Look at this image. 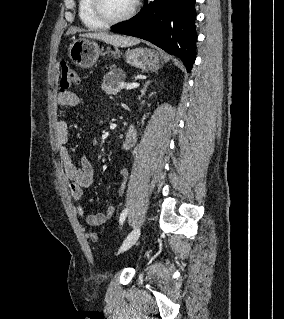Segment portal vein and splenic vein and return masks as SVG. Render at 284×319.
I'll use <instances>...</instances> for the list:
<instances>
[{"label": "portal vein and splenic vein", "instance_id": "1", "mask_svg": "<svg viewBox=\"0 0 284 319\" xmlns=\"http://www.w3.org/2000/svg\"><path fill=\"white\" fill-rule=\"evenodd\" d=\"M121 86H124V84H121ZM137 87H139V83H136V82L129 83V84L125 85V88L127 90L134 89V88H137Z\"/></svg>", "mask_w": 284, "mask_h": 319}]
</instances>
